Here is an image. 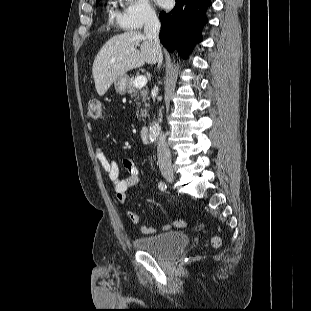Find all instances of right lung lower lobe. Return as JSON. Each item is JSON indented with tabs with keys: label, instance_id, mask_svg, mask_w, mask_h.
Masks as SVG:
<instances>
[{
	"label": "right lung lower lobe",
	"instance_id": "98d812e1",
	"mask_svg": "<svg viewBox=\"0 0 311 311\" xmlns=\"http://www.w3.org/2000/svg\"><path fill=\"white\" fill-rule=\"evenodd\" d=\"M170 12L159 15L161 31L159 38L168 51L174 48L182 57H187L195 43L202 41V28L208 22L206 11L211 0H175Z\"/></svg>",
	"mask_w": 311,
	"mask_h": 311
}]
</instances>
